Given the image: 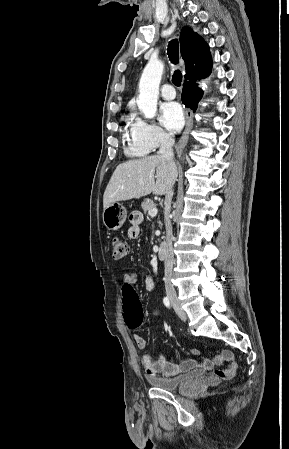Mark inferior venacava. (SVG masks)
Listing matches in <instances>:
<instances>
[{
  "mask_svg": "<svg viewBox=\"0 0 289 449\" xmlns=\"http://www.w3.org/2000/svg\"><path fill=\"white\" fill-rule=\"evenodd\" d=\"M175 143V140L171 134H166L161 142L160 149L158 151V154L165 158L167 162L173 166L174 160H173V145ZM173 197V190L172 187L169 189V191L165 195V206L167 208H170L171 201ZM165 227H166V256H165V289L166 292H175L174 285L171 282L172 278V270L174 265V254H173V247H172V241H173V235H172V224L170 221L169 216L167 215L165 217Z\"/></svg>",
  "mask_w": 289,
  "mask_h": 449,
  "instance_id": "1",
  "label": "inferior vena cava"
}]
</instances>
